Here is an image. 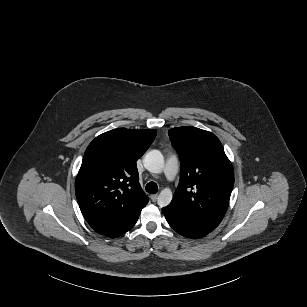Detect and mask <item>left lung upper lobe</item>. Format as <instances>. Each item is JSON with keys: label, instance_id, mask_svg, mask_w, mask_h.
I'll return each mask as SVG.
<instances>
[{"label": "left lung upper lobe", "instance_id": "obj_1", "mask_svg": "<svg viewBox=\"0 0 307 307\" xmlns=\"http://www.w3.org/2000/svg\"><path fill=\"white\" fill-rule=\"evenodd\" d=\"M181 161V176L169 204L180 215L214 230L223 219L234 185V171L219 139L195 127L168 131Z\"/></svg>", "mask_w": 307, "mask_h": 307}]
</instances>
